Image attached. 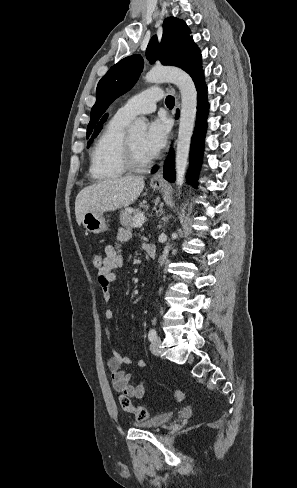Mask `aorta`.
<instances>
[{"mask_svg": "<svg viewBox=\"0 0 297 488\" xmlns=\"http://www.w3.org/2000/svg\"><path fill=\"white\" fill-rule=\"evenodd\" d=\"M145 80L148 83L171 82L177 85L181 94V107L179 130L176 145V184L180 188L184 182V177L188 165L190 141L193 133L196 111H197V91L191 77L181 69L171 67H154L146 75ZM146 129V123L143 119H136L131 125L132 132H141ZM171 250L170 243L164 247L163 254L160 258L162 266Z\"/></svg>", "mask_w": 297, "mask_h": 488, "instance_id": "1", "label": "aorta"}]
</instances>
